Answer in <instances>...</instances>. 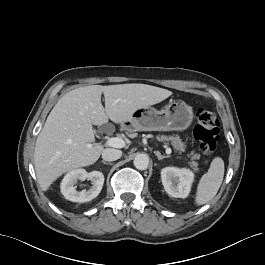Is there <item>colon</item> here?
Masks as SVG:
<instances>
[{"label":"colon","instance_id":"1","mask_svg":"<svg viewBox=\"0 0 265 265\" xmlns=\"http://www.w3.org/2000/svg\"><path fill=\"white\" fill-rule=\"evenodd\" d=\"M196 119L194 136L199 142L202 152L206 155H212L219 141V121L213 112L205 108L197 111Z\"/></svg>","mask_w":265,"mask_h":265}]
</instances>
